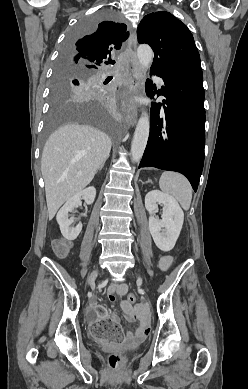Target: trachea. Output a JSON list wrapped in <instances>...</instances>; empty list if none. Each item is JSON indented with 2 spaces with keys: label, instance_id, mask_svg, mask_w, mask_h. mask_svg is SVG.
<instances>
[{
  "label": "trachea",
  "instance_id": "3493384b",
  "mask_svg": "<svg viewBox=\"0 0 248 389\" xmlns=\"http://www.w3.org/2000/svg\"><path fill=\"white\" fill-rule=\"evenodd\" d=\"M111 64H115V61H110Z\"/></svg>",
  "mask_w": 248,
  "mask_h": 389
}]
</instances>
